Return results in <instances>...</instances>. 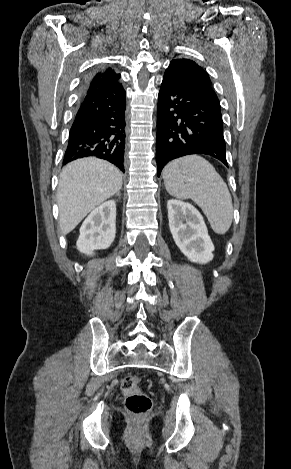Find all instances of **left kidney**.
<instances>
[{
    "instance_id": "5707ae66",
    "label": "left kidney",
    "mask_w": 291,
    "mask_h": 469,
    "mask_svg": "<svg viewBox=\"0 0 291 469\" xmlns=\"http://www.w3.org/2000/svg\"><path fill=\"white\" fill-rule=\"evenodd\" d=\"M169 228L181 252L194 263L213 259L214 245L200 212L191 204L171 199L167 202Z\"/></svg>"
}]
</instances>
